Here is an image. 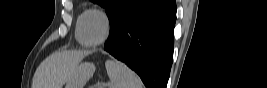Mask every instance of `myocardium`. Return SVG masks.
Masks as SVG:
<instances>
[{
    "label": "myocardium",
    "instance_id": "1",
    "mask_svg": "<svg viewBox=\"0 0 267 88\" xmlns=\"http://www.w3.org/2000/svg\"><path fill=\"white\" fill-rule=\"evenodd\" d=\"M89 15H96V16L100 17L104 22V26H105L104 35L97 42H89L85 37L84 26H85L86 18ZM109 33H110V21H109L108 16L103 11L94 9V10H90L89 12H87L85 14V16L83 17V20H82V25H81V37H82V40L86 46L96 47V46L103 44L106 41V39L108 38Z\"/></svg>",
    "mask_w": 267,
    "mask_h": 88
}]
</instances>
